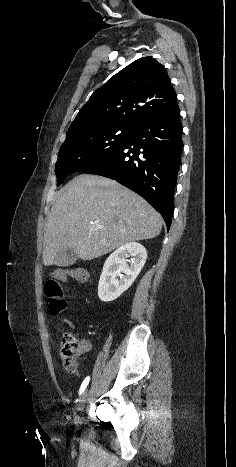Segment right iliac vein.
<instances>
[{
	"instance_id": "right-iliac-vein-1",
	"label": "right iliac vein",
	"mask_w": 236,
	"mask_h": 467,
	"mask_svg": "<svg viewBox=\"0 0 236 467\" xmlns=\"http://www.w3.org/2000/svg\"><path fill=\"white\" fill-rule=\"evenodd\" d=\"M88 393H89V389H86L83 392V394H82V396H81V398L79 400V403H78V405L76 407V411L78 412V414H76V416H75V422L76 423H81L83 421V417L79 413L82 412L83 409H84L85 403L87 402V399H88Z\"/></svg>"
}]
</instances>
